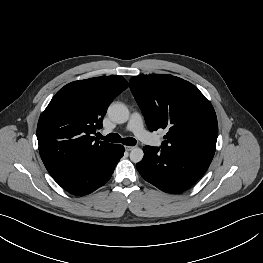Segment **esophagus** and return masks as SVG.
Here are the masks:
<instances>
[{
    "instance_id": "1",
    "label": "esophagus",
    "mask_w": 263,
    "mask_h": 263,
    "mask_svg": "<svg viewBox=\"0 0 263 263\" xmlns=\"http://www.w3.org/2000/svg\"><path fill=\"white\" fill-rule=\"evenodd\" d=\"M133 149H134L133 146H125V150H126V151H131V150H133Z\"/></svg>"
}]
</instances>
